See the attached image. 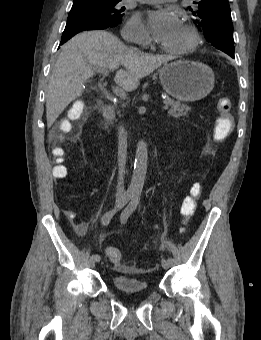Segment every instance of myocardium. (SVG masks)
I'll use <instances>...</instances> for the list:
<instances>
[{"label":"myocardium","mask_w":261,"mask_h":340,"mask_svg":"<svg viewBox=\"0 0 261 340\" xmlns=\"http://www.w3.org/2000/svg\"><path fill=\"white\" fill-rule=\"evenodd\" d=\"M183 27L189 35V38H190L189 43L179 48H169V47L162 46L161 47L162 50L168 53H171V54H186V53H190L194 51L198 47L200 43V34L198 30L196 29V27L189 23H185Z\"/></svg>","instance_id":"myocardium-1"}]
</instances>
